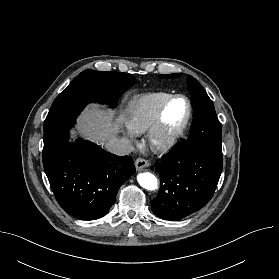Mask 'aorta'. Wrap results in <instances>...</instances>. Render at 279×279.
Returning a JSON list of instances; mask_svg holds the SVG:
<instances>
[{
    "label": "aorta",
    "instance_id": "aorta-1",
    "mask_svg": "<svg viewBox=\"0 0 279 279\" xmlns=\"http://www.w3.org/2000/svg\"><path fill=\"white\" fill-rule=\"evenodd\" d=\"M137 180L141 187L150 191L155 190L158 185L157 178L149 172L138 174Z\"/></svg>",
    "mask_w": 279,
    "mask_h": 279
}]
</instances>
